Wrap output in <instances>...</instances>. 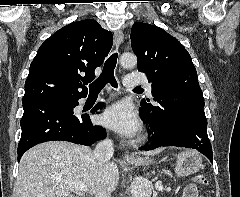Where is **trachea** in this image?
<instances>
[{
    "label": "trachea",
    "mask_w": 240,
    "mask_h": 197,
    "mask_svg": "<svg viewBox=\"0 0 240 197\" xmlns=\"http://www.w3.org/2000/svg\"><path fill=\"white\" fill-rule=\"evenodd\" d=\"M117 63V53H113L105 62L100 76L89 85L90 94H98L107 83L117 88V82L114 76V69Z\"/></svg>",
    "instance_id": "obj_1"
}]
</instances>
